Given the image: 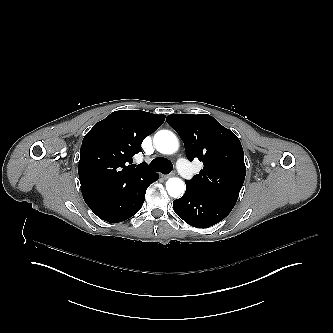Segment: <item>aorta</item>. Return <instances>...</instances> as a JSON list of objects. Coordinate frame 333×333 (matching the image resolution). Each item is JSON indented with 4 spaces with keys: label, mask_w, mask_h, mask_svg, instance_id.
I'll use <instances>...</instances> for the list:
<instances>
[{
    "label": "aorta",
    "mask_w": 333,
    "mask_h": 333,
    "mask_svg": "<svg viewBox=\"0 0 333 333\" xmlns=\"http://www.w3.org/2000/svg\"><path fill=\"white\" fill-rule=\"evenodd\" d=\"M156 149L163 154H173L178 150L179 143L176 136L168 130H160L154 136ZM166 189L171 197L177 198L183 195L185 184L179 178H170L166 182Z\"/></svg>",
    "instance_id": "762f6f07"
}]
</instances>
